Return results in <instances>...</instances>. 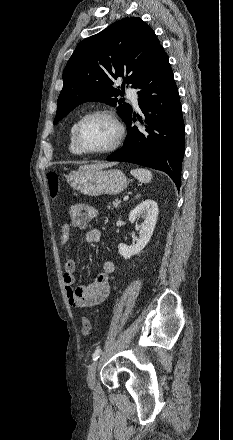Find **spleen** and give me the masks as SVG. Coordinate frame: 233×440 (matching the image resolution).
Masks as SVG:
<instances>
[{"label":"spleen","mask_w":233,"mask_h":440,"mask_svg":"<svg viewBox=\"0 0 233 440\" xmlns=\"http://www.w3.org/2000/svg\"><path fill=\"white\" fill-rule=\"evenodd\" d=\"M130 173L141 183H149L152 180V173L148 169H132Z\"/></svg>","instance_id":"3e777b00"}]
</instances>
